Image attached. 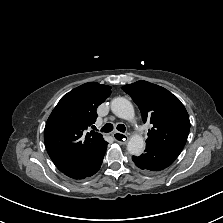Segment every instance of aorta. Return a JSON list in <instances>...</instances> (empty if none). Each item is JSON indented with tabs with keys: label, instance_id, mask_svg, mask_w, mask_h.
Wrapping results in <instances>:
<instances>
[{
	"label": "aorta",
	"instance_id": "aorta-1",
	"mask_svg": "<svg viewBox=\"0 0 223 223\" xmlns=\"http://www.w3.org/2000/svg\"><path fill=\"white\" fill-rule=\"evenodd\" d=\"M112 112L119 118L124 120L132 121L135 118V111L132 103L124 97L114 98L111 102ZM145 147V142L142 136L133 135L131 136L127 150L130 154L139 156L142 154Z\"/></svg>",
	"mask_w": 223,
	"mask_h": 223
}]
</instances>
